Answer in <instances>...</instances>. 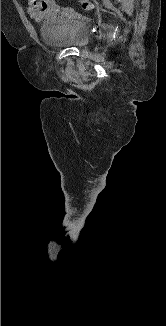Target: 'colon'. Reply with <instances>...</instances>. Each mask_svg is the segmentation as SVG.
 I'll list each match as a JSON object with an SVG mask.
<instances>
[{
  "instance_id": "5ec220e1",
  "label": "colon",
  "mask_w": 166,
  "mask_h": 326,
  "mask_svg": "<svg viewBox=\"0 0 166 326\" xmlns=\"http://www.w3.org/2000/svg\"><path fill=\"white\" fill-rule=\"evenodd\" d=\"M80 5L85 10H89L92 8V4L89 0H80Z\"/></svg>"
}]
</instances>
